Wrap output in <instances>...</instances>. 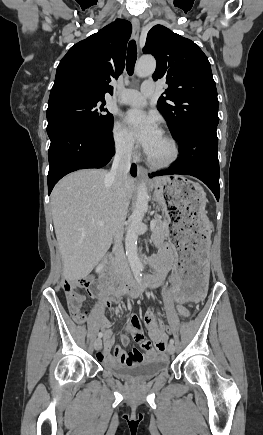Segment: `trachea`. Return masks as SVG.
<instances>
[{
	"label": "trachea",
	"instance_id": "obj_1",
	"mask_svg": "<svg viewBox=\"0 0 263 435\" xmlns=\"http://www.w3.org/2000/svg\"><path fill=\"white\" fill-rule=\"evenodd\" d=\"M137 60V48L136 42L131 40L128 45L127 51V61H126V70L127 73L131 76L134 72V66Z\"/></svg>",
	"mask_w": 263,
	"mask_h": 435
}]
</instances>
